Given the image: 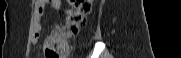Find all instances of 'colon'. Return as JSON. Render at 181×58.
Listing matches in <instances>:
<instances>
[{"label": "colon", "mask_w": 181, "mask_h": 58, "mask_svg": "<svg viewBox=\"0 0 181 58\" xmlns=\"http://www.w3.org/2000/svg\"><path fill=\"white\" fill-rule=\"evenodd\" d=\"M70 9L67 12L65 26L54 37L48 38L45 43L46 58H66L65 41L63 38L75 36L85 25L86 17L91 11V0H69ZM63 50H57L55 46Z\"/></svg>", "instance_id": "colon-1"}]
</instances>
